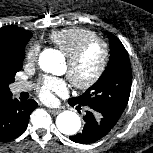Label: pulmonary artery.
Returning <instances> with one entry per match:
<instances>
[{
	"instance_id": "pulmonary-artery-1",
	"label": "pulmonary artery",
	"mask_w": 153,
	"mask_h": 153,
	"mask_svg": "<svg viewBox=\"0 0 153 153\" xmlns=\"http://www.w3.org/2000/svg\"><path fill=\"white\" fill-rule=\"evenodd\" d=\"M30 88V85L28 83H24V82H17L14 86H13V91L15 93H20L23 91H27Z\"/></svg>"
}]
</instances>
